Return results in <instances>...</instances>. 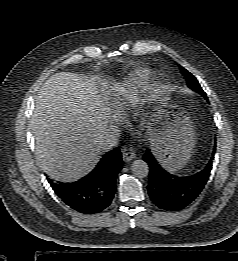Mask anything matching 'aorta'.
Wrapping results in <instances>:
<instances>
[{
    "label": "aorta",
    "mask_w": 238,
    "mask_h": 261,
    "mask_svg": "<svg viewBox=\"0 0 238 261\" xmlns=\"http://www.w3.org/2000/svg\"><path fill=\"white\" fill-rule=\"evenodd\" d=\"M131 170L132 173L138 178H145L149 174L148 164L141 159L133 161L131 164Z\"/></svg>",
    "instance_id": "762f6f07"
}]
</instances>
